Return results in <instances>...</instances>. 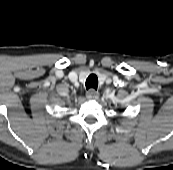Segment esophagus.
Returning <instances> with one entry per match:
<instances>
[{
  "instance_id": "1",
  "label": "esophagus",
  "mask_w": 173,
  "mask_h": 170,
  "mask_svg": "<svg viewBox=\"0 0 173 170\" xmlns=\"http://www.w3.org/2000/svg\"><path fill=\"white\" fill-rule=\"evenodd\" d=\"M98 97L99 93L95 89H89L86 93V98L89 100H96Z\"/></svg>"
}]
</instances>
